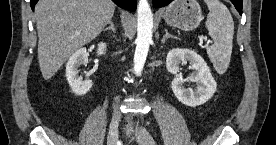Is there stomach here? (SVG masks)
<instances>
[{
    "instance_id": "1",
    "label": "stomach",
    "mask_w": 276,
    "mask_h": 145,
    "mask_svg": "<svg viewBox=\"0 0 276 145\" xmlns=\"http://www.w3.org/2000/svg\"><path fill=\"white\" fill-rule=\"evenodd\" d=\"M163 18L172 27L190 31L202 20L201 7L197 0H174L166 8Z\"/></svg>"
}]
</instances>
